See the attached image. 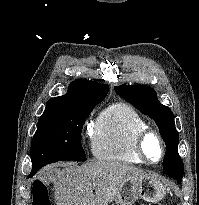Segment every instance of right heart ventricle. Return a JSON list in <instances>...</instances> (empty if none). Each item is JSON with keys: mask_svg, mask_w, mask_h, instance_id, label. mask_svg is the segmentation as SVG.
<instances>
[{"mask_svg": "<svg viewBox=\"0 0 199 205\" xmlns=\"http://www.w3.org/2000/svg\"><path fill=\"white\" fill-rule=\"evenodd\" d=\"M148 128L145 119L130 105L114 103L100 112L93 134V154L103 161L143 164L136 155V135Z\"/></svg>", "mask_w": 199, "mask_h": 205, "instance_id": "e07e8e85", "label": "right heart ventricle"}]
</instances>
